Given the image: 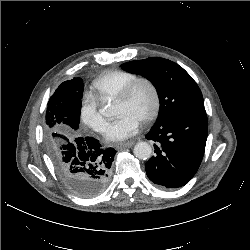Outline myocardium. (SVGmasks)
<instances>
[{"instance_id":"f54148a6","label":"myocardium","mask_w":250,"mask_h":250,"mask_svg":"<svg viewBox=\"0 0 250 250\" xmlns=\"http://www.w3.org/2000/svg\"><path fill=\"white\" fill-rule=\"evenodd\" d=\"M140 85H145L149 88L152 94V107L150 111L142 118V122H148L152 120L158 113L160 108V94L154 81L147 77H137L129 84H127L116 96V101L125 102L131 98L136 88Z\"/></svg>"}]
</instances>
